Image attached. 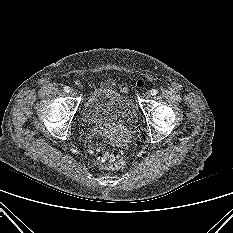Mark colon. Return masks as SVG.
Returning <instances> with one entry per match:
<instances>
[{
    "instance_id": "colon-1",
    "label": "colon",
    "mask_w": 233,
    "mask_h": 233,
    "mask_svg": "<svg viewBox=\"0 0 233 233\" xmlns=\"http://www.w3.org/2000/svg\"><path fill=\"white\" fill-rule=\"evenodd\" d=\"M138 86H143L144 81L139 79ZM90 153L100 166L110 170H118L125 165V160L118 154L110 152L103 143V136L98 134L97 140L90 146Z\"/></svg>"
}]
</instances>
